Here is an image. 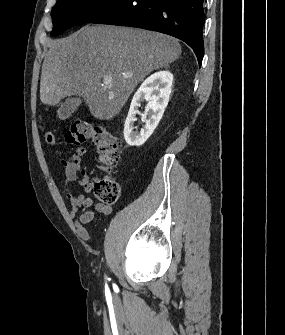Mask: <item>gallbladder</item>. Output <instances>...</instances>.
Here are the masks:
<instances>
[{"label": "gallbladder", "instance_id": "bac80fb5", "mask_svg": "<svg viewBox=\"0 0 285 335\" xmlns=\"http://www.w3.org/2000/svg\"><path fill=\"white\" fill-rule=\"evenodd\" d=\"M81 104V100L79 98H68L64 104H62L61 108H59L57 112L58 118L60 120H67V118H70L71 114L79 108Z\"/></svg>", "mask_w": 285, "mask_h": 335}]
</instances>
